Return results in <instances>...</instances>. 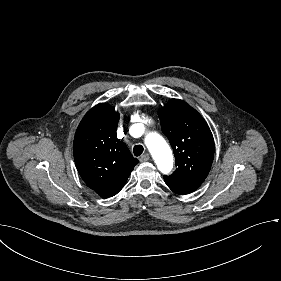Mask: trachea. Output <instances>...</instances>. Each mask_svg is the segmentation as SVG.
<instances>
[{"instance_id":"3493384b","label":"trachea","mask_w":281,"mask_h":281,"mask_svg":"<svg viewBox=\"0 0 281 281\" xmlns=\"http://www.w3.org/2000/svg\"><path fill=\"white\" fill-rule=\"evenodd\" d=\"M144 151V148L142 145H135L133 148V153L135 156H140Z\"/></svg>"}]
</instances>
